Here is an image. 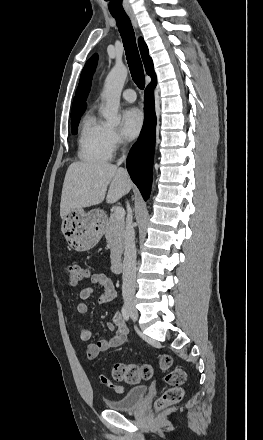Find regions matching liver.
<instances>
[{"mask_svg": "<svg viewBox=\"0 0 263 440\" xmlns=\"http://www.w3.org/2000/svg\"><path fill=\"white\" fill-rule=\"evenodd\" d=\"M131 188L132 182L128 174L111 163L74 162L68 167L65 175L60 216L63 219L72 210L102 203L106 192V202L115 203Z\"/></svg>", "mask_w": 263, "mask_h": 440, "instance_id": "6515ba94", "label": "liver"}]
</instances>
